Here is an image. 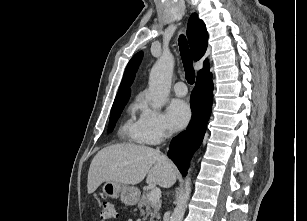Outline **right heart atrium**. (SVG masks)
<instances>
[{"label": "right heart atrium", "mask_w": 307, "mask_h": 221, "mask_svg": "<svg viewBox=\"0 0 307 221\" xmlns=\"http://www.w3.org/2000/svg\"><path fill=\"white\" fill-rule=\"evenodd\" d=\"M140 127L144 142L159 144L173 134L167 118L158 109L151 107L146 101L140 103Z\"/></svg>", "instance_id": "right-heart-atrium-1"}]
</instances>
